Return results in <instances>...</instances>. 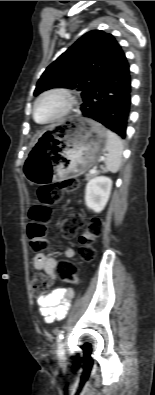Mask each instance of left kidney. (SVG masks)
<instances>
[{"label": "left kidney", "instance_id": "obj_1", "mask_svg": "<svg viewBox=\"0 0 155 395\" xmlns=\"http://www.w3.org/2000/svg\"><path fill=\"white\" fill-rule=\"evenodd\" d=\"M112 180L106 176H96L90 179L85 189V204L94 212H101L110 197Z\"/></svg>", "mask_w": 155, "mask_h": 395}]
</instances>
